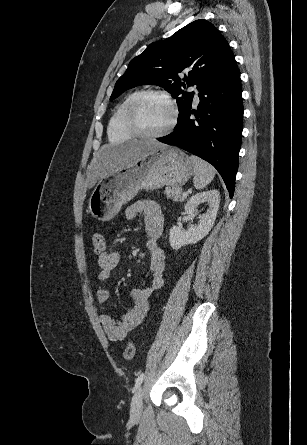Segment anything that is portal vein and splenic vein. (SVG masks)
I'll use <instances>...</instances> for the list:
<instances>
[{"instance_id": "1", "label": "portal vein and splenic vein", "mask_w": 307, "mask_h": 445, "mask_svg": "<svg viewBox=\"0 0 307 445\" xmlns=\"http://www.w3.org/2000/svg\"><path fill=\"white\" fill-rule=\"evenodd\" d=\"M183 196H188V192H183Z\"/></svg>"}]
</instances>
